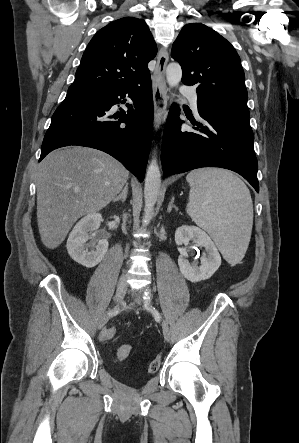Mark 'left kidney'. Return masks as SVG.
<instances>
[{"label": "left kidney", "mask_w": 299, "mask_h": 443, "mask_svg": "<svg viewBox=\"0 0 299 443\" xmlns=\"http://www.w3.org/2000/svg\"><path fill=\"white\" fill-rule=\"evenodd\" d=\"M193 241L197 247H205V252L200 258L201 265L191 264L186 253H181L178 265L183 276L191 282H199L209 279L221 265V256L211 240L202 229L195 226H181L175 232L177 245H188Z\"/></svg>", "instance_id": "5707ae66"}]
</instances>
